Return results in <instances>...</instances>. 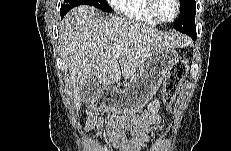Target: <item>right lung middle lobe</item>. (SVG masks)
I'll use <instances>...</instances> for the list:
<instances>
[{"instance_id":"dd1d6c3e","label":"right lung middle lobe","mask_w":231,"mask_h":151,"mask_svg":"<svg viewBox=\"0 0 231 151\" xmlns=\"http://www.w3.org/2000/svg\"><path fill=\"white\" fill-rule=\"evenodd\" d=\"M78 5H91L99 8L102 11L111 12V9L106 0H65L61 7H68L69 9H72Z\"/></svg>"}]
</instances>
